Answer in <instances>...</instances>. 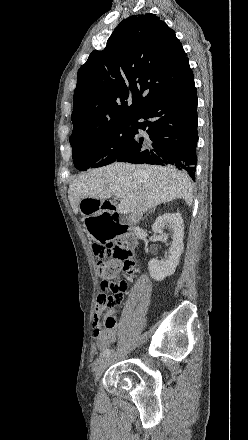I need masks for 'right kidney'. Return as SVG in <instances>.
I'll return each instance as SVG.
<instances>
[{
	"label": "right kidney",
	"mask_w": 248,
	"mask_h": 440,
	"mask_svg": "<svg viewBox=\"0 0 248 440\" xmlns=\"http://www.w3.org/2000/svg\"><path fill=\"white\" fill-rule=\"evenodd\" d=\"M164 229H169L172 236V243L169 249V255L165 256L161 261L152 259L148 263V269L151 277L156 281H162L166 277L171 276L179 264L180 256L184 249V224L180 213H165L159 216L153 226L154 233H158L161 237H165Z\"/></svg>",
	"instance_id": "1"
}]
</instances>
